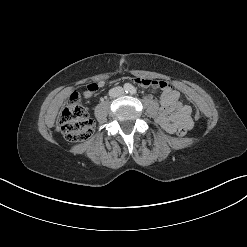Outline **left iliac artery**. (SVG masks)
<instances>
[{"instance_id": "left-iliac-artery-1", "label": "left iliac artery", "mask_w": 247, "mask_h": 247, "mask_svg": "<svg viewBox=\"0 0 247 247\" xmlns=\"http://www.w3.org/2000/svg\"><path fill=\"white\" fill-rule=\"evenodd\" d=\"M130 93L132 95H135L137 93V90L134 87H132L131 90H130Z\"/></svg>"}]
</instances>
